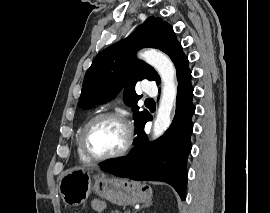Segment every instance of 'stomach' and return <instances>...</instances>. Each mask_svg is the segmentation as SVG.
<instances>
[{
    "label": "stomach",
    "mask_w": 270,
    "mask_h": 213,
    "mask_svg": "<svg viewBox=\"0 0 270 213\" xmlns=\"http://www.w3.org/2000/svg\"><path fill=\"white\" fill-rule=\"evenodd\" d=\"M58 190L63 202L68 206L84 203L92 192L123 206L147 203L152 197V189L146 184L79 168L67 170L62 174Z\"/></svg>",
    "instance_id": "1"
}]
</instances>
